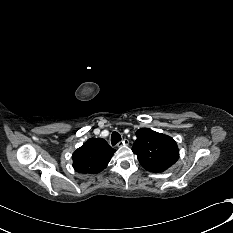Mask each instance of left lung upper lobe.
<instances>
[{
	"label": "left lung upper lobe",
	"mask_w": 233,
	"mask_h": 233,
	"mask_svg": "<svg viewBox=\"0 0 233 233\" xmlns=\"http://www.w3.org/2000/svg\"><path fill=\"white\" fill-rule=\"evenodd\" d=\"M136 137L132 151L147 171L163 172L178 160L179 150L170 136L143 128L137 130Z\"/></svg>",
	"instance_id": "left-lung-upper-lobe-1"
}]
</instances>
